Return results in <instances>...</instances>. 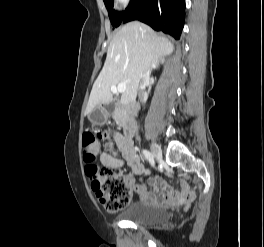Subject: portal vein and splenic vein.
Returning a JSON list of instances; mask_svg holds the SVG:
<instances>
[{
  "instance_id": "obj_1",
  "label": "portal vein and splenic vein",
  "mask_w": 264,
  "mask_h": 247,
  "mask_svg": "<svg viewBox=\"0 0 264 247\" xmlns=\"http://www.w3.org/2000/svg\"><path fill=\"white\" fill-rule=\"evenodd\" d=\"M126 84L125 83H119L117 86L113 85L111 86V92L112 93H124L126 91Z\"/></svg>"
}]
</instances>
